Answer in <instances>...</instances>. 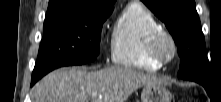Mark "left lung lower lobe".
<instances>
[{
    "label": "left lung lower lobe",
    "mask_w": 221,
    "mask_h": 102,
    "mask_svg": "<svg viewBox=\"0 0 221 102\" xmlns=\"http://www.w3.org/2000/svg\"><path fill=\"white\" fill-rule=\"evenodd\" d=\"M202 85L207 89L208 85H209V81H206V82L202 83Z\"/></svg>",
    "instance_id": "obj_1"
}]
</instances>
